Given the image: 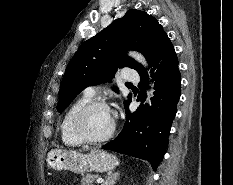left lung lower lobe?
<instances>
[{"mask_svg":"<svg viewBox=\"0 0 233 185\" xmlns=\"http://www.w3.org/2000/svg\"><path fill=\"white\" fill-rule=\"evenodd\" d=\"M151 73L155 80L152 106L140 105L130 114L126 108V122L118 137L102 148L130 155L150 162L153 170L161 162L170 134L171 124L177 112L181 90V74L174 47L166 37L150 60ZM141 81L138 101L145 98L147 73L144 69L138 72Z\"/></svg>","mask_w":233,"mask_h":185,"instance_id":"obj_1","label":"left lung lower lobe"}]
</instances>
